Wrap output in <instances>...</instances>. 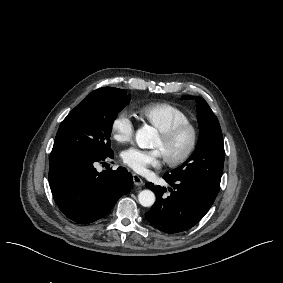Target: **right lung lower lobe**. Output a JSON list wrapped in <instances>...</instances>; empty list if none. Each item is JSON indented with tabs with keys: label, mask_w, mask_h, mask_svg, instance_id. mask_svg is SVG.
Wrapping results in <instances>:
<instances>
[{
	"label": "right lung lower lobe",
	"mask_w": 283,
	"mask_h": 283,
	"mask_svg": "<svg viewBox=\"0 0 283 283\" xmlns=\"http://www.w3.org/2000/svg\"><path fill=\"white\" fill-rule=\"evenodd\" d=\"M113 159L97 154H74L50 159L49 184L59 209L71 220L87 224L106 216L133 185L124 168L97 172L96 162Z\"/></svg>",
	"instance_id": "98d812e1"
}]
</instances>
